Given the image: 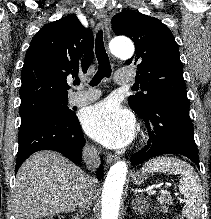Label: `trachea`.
Listing matches in <instances>:
<instances>
[{"instance_id":"obj_1","label":"trachea","mask_w":211,"mask_h":219,"mask_svg":"<svg viewBox=\"0 0 211 219\" xmlns=\"http://www.w3.org/2000/svg\"><path fill=\"white\" fill-rule=\"evenodd\" d=\"M95 54L98 60V71L90 81L91 86L98 85L103 78H109L111 76V65L109 57L106 53L103 41V32L99 30L95 39ZM75 85H79V80L74 82Z\"/></svg>"}]
</instances>
